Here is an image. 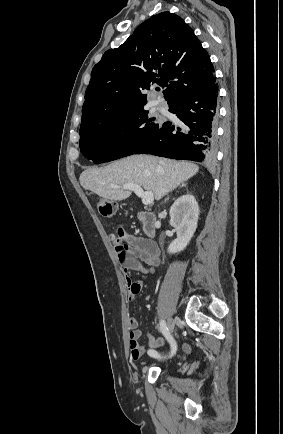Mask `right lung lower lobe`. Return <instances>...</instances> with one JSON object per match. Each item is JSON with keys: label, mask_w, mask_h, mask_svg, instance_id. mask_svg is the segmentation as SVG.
Returning <instances> with one entry per match:
<instances>
[{"label": "right lung lower lobe", "mask_w": 283, "mask_h": 434, "mask_svg": "<svg viewBox=\"0 0 283 434\" xmlns=\"http://www.w3.org/2000/svg\"><path fill=\"white\" fill-rule=\"evenodd\" d=\"M217 97L215 81L207 88L171 103L169 111L180 119V126L165 122L134 154L212 161L216 142Z\"/></svg>", "instance_id": "right-lung-lower-lobe-1"}]
</instances>
